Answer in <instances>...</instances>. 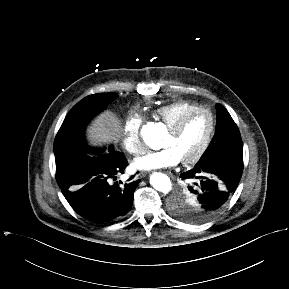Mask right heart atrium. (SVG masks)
<instances>
[{
  "label": "right heart atrium",
  "mask_w": 289,
  "mask_h": 289,
  "mask_svg": "<svg viewBox=\"0 0 289 289\" xmlns=\"http://www.w3.org/2000/svg\"><path fill=\"white\" fill-rule=\"evenodd\" d=\"M143 122L144 119L139 113L131 112L123 124L122 145L132 155H139L144 151V144L140 135Z\"/></svg>",
  "instance_id": "1"
}]
</instances>
